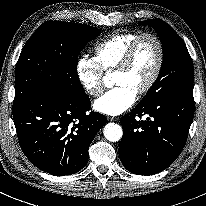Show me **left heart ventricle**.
<instances>
[{
	"label": "left heart ventricle",
	"mask_w": 206,
	"mask_h": 206,
	"mask_svg": "<svg viewBox=\"0 0 206 206\" xmlns=\"http://www.w3.org/2000/svg\"><path fill=\"white\" fill-rule=\"evenodd\" d=\"M158 58L156 43L144 38L136 51L134 59L126 72L115 73V85L127 86L137 93L150 79Z\"/></svg>",
	"instance_id": "left-heart-ventricle-1"
}]
</instances>
